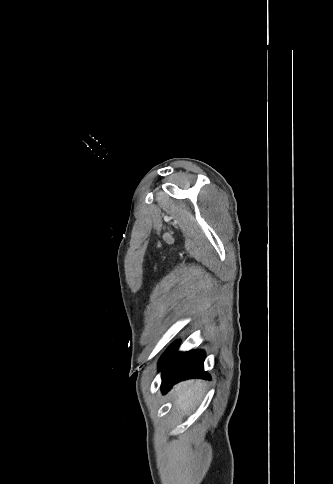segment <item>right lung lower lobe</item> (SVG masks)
<instances>
[{
	"label": "right lung lower lobe",
	"instance_id": "98d812e1",
	"mask_svg": "<svg viewBox=\"0 0 333 484\" xmlns=\"http://www.w3.org/2000/svg\"><path fill=\"white\" fill-rule=\"evenodd\" d=\"M179 342L172 344L159 362L162 371L163 393L167 392L175 383L188 378H208L204 372L203 362L205 353L201 350L177 353Z\"/></svg>",
	"mask_w": 333,
	"mask_h": 484
}]
</instances>
